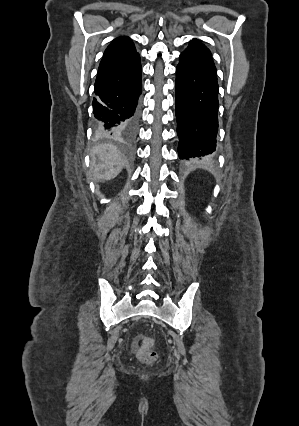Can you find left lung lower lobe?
I'll return each instance as SVG.
<instances>
[{"label":"left lung lower lobe","mask_w":299,"mask_h":426,"mask_svg":"<svg viewBox=\"0 0 299 426\" xmlns=\"http://www.w3.org/2000/svg\"><path fill=\"white\" fill-rule=\"evenodd\" d=\"M218 83L209 53L185 50L176 69V119L180 159L210 156L218 130Z\"/></svg>","instance_id":"0a47b994"}]
</instances>
